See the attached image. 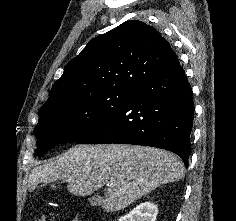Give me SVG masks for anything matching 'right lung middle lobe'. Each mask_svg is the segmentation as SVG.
Returning <instances> with one entry per match:
<instances>
[{
    "label": "right lung middle lobe",
    "instance_id": "obj_1",
    "mask_svg": "<svg viewBox=\"0 0 236 221\" xmlns=\"http://www.w3.org/2000/svg\"><path fill=\"white\" fill-rule=\"evenodd\" d=\"M133 95L131 89L99 92L40 109L34 133L38 156L51 146L78 141L113 114Z\"/></svg>",
    "mask_w": 236,
    "mask_h": 221
}]
</instances>
